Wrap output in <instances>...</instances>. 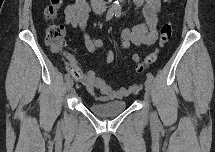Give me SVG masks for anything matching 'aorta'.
Here are the masks:
<instances>
[{"instance_id": "762f6f07", "label": "aorta", "mask_w": 215, "mask_h": 152, "mask_svg": "<svg viewBox=\"0 0 215 152\" xmlns=\"http://www.w3.org/2000/svg\"><path fill=\"white\" fill-rule=\"evenodd\" d=\"M114 7H119V2H118V0H115V2H114V5H113Z\"/></svg>"}]
</instances>
